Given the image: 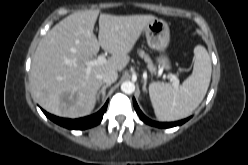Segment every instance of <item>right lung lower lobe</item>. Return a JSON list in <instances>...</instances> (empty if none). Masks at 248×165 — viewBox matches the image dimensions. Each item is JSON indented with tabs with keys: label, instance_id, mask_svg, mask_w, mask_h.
Instances as JSON below:
<instances>
[{
	"label": "right lung lower lobe",
	"instance_id": "98d812e1",
	"mask_svg": "<svg viewBox=\"0 0 248 165\" xmlns=\"http://www.w3.org/2000/svg\"><path fill=\"white\" fill-rule=\"evenodd\" d=\"M107 104H108V102L96 114L91 115V116H87L84 118H79V119L60 118V117H56L54 115H51L45 111H43V112L49 119H51L53 122L59 124L60 126L66 127L68 129L83 130V129H87V128L96 126L101 122V120L103 118V114L105 113V111L107 109Z\"/></svg>",
	"mask_w": 248,
	"mask_h": 165
}]
</instances>
